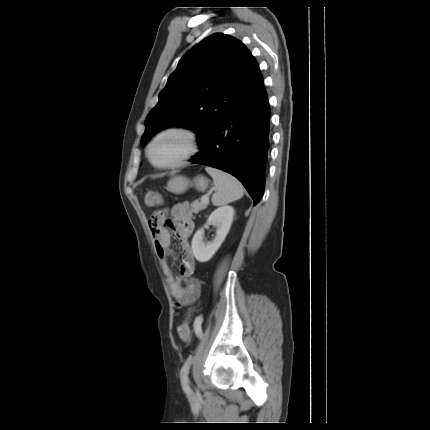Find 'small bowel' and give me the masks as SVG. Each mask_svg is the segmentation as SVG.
<instances>
[{
	"label": "small bowel",
	"mask_w": 430,
	"mask_h": 430,
	"mask_svg": "<svg viewBox=\"0 0 430 430\" xmlns=\"http://www.w3.org/2000/svg\"><path fill=\"white\" fill-rule=\"evenodd\" d=\"M170 229L177 235L182 261L179 265V275L173 273V261L176 259L170 248ZM150 230L155 240V248L160 266L166 276L171 293L181 305H189L196 301L201 292L199 281L194 275V259L190 246V236L194 231L192 213L188 202L174 205L169 212L157 211L150 220ZM203 318L195 319V325H200ZM183 323L178 326L180 332Z\"/></svg>",
	"instance_id": "1"
}]
</instances>
